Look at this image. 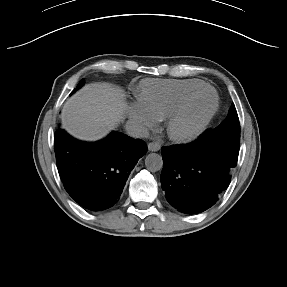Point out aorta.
Instances as JSON below:
<instances>
[{
	"label": "aorta",
	"mask_w": 287,
	"mask_h": 287,
	"mask_svg": "<svg viewBox=\"0 0 287 287\" xmlns=\"http://www.w3.org/2000/svg\"><path fill=\"white\" fill-rule=\"evenodd\" d=\"M145 166L151 172H156L162 169V156L157 153H150L145 158Z\"/></svg>",
	"instance_id": "762f6f07"
}]
</instances>
